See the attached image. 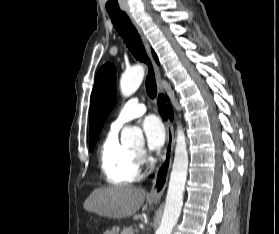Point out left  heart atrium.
<instances>
[{"label":"left heart atrium","instance_id":"left-heart-atrium-1","mask_svg":"<svg viewBox=\"0 0 279 234\" xmlns=\"http://www.w3.org/2000/svg\"><path fill=\"white\" fill-rule=\"evenodd\" d=\"M142 130L146 138L147 147L152 150H159L165 141V129L156 116L150 115L142 122Z\"/></svg>","mask_w":279,"mask_h":234}]
</instances>
